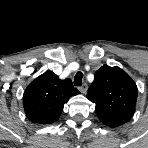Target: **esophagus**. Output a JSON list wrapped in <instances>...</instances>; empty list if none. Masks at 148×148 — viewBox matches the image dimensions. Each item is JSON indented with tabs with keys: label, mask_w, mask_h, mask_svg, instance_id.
I'll return each mask as SVG.
<instances>
[{
	"label": "esophagus",
	"mask_w": 148,
	"mask_h": 148,
	"mask_svg": "<svg viewBox=\"0 0 148 148\" xmlns=\"http://www.w3.org/2000/svg\"><path fill=\"white\" fill-rule=\"evenodd\" d=\"M87 84H83L81 87H79V90L81 91V93L85 94L87 91Z\"/></svg>",
	"instance_id": "34e87169"
}]
</instances>
